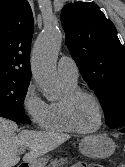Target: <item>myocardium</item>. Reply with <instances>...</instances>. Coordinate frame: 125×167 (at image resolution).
<instances>
[{
	"label": "myocardium",
	"instance_id": "1",
	"mask_svg": "<svg viewBox=\"0 0 125 167\" xmlns=\"http://www.w3.org/2000/svg\"><path fill=\"white\" fill-rule=\"evenodd\" d=\"M83 96L92 99L93 102L95 103V105L97 106V109L99 112V123L93 129L80 128L76 124L75 119H74V114H73L74 105H75L76 101ZM61 106H62L65 120L74 132H77L80 134H93L101 129V127L103 125V120H104L103 107H102V104H101L99 98L95 94H93L92 92H90L88 90L80 89V88H77L71 92H68L62 98Z\"/></svg>",
	"mask_w": 125,
	"mask_h": 167
}]
</instances>
